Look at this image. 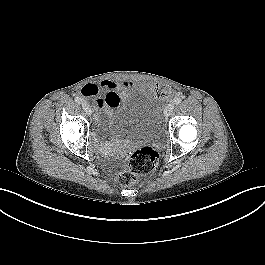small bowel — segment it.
Segmentation results:
<instances>
[{
  "mask_svg": "<svg viewBox=\"0 0 265 265\" xmlns=\"http://www.w3.org/2000/svg\"><path fill=\"white\" fill-rule=\"evenodd\" d=\"M132 82L121 81L114 82L112 80H103L99 84L87 83L81 88V94L85 98L94 99V109L97 113L107 111L112 107H116L120 98L123 96L125 89ZM156 95L160 100L165 101L170 96V91L160 85H154Z\"/></svg>",
  "mask_w": 265,
  "mask_h": 265,
  "instance_id": "c3829d8e",
  "label": "small bowel"
}]
</instances>
